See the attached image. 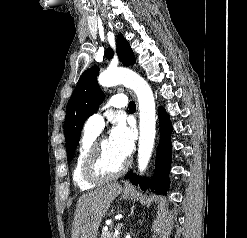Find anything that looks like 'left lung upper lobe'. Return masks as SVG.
<instances>
[{"mask_svg":"<svg viewBox=\"0 0 247 238\" xmlns=\"http://www.w3.org/2000/svg\"><path fill=\"white\" fill-rule=\"evenodd\" d=\"M117 54L125 66L135 63L134 53L122 34L117 36ZM112 56L113 50L109 48L106 52V57L109 59ZM98 72L99 68L93 66L81 75L67 104L64 133L67 160L69 162L72 160L73 152L78 145L84 122L98 109L104 100L103 93L97 83Z\"/></svg>","mask_w":247,"mask_h":238,"instance_id":"obj_1","label":"left lung upper lobe"}]
</instances>
